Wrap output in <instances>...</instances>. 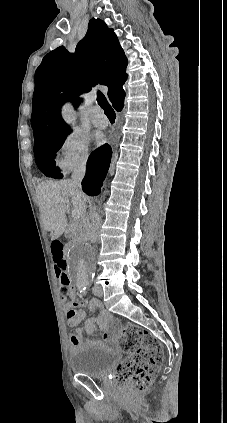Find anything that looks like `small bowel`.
Returning a JSON list of instances; mask_svg holds the SVG:
<instances>
[{"mask_svg": "<svg viewBox=\"0 0 227 423\" xmlns=\"http://www.w3.org/2000/svg\"><path fill=\"white\" fill-rule=\"evenodd\" d=\"M70 298L67 302L66 296L61 297V301L64 304V315L69 326L75 327L81 321L83 323V330L87 335H92L96 331L97 327L105 331L111 323L114 322L112 315L106 311L100 302L93 300L88 303L86 300L76 298V289L74 285L70 283L69 289L66 292ZM89 306L90 310L97 314L96 317L86 318V314L83 310L84 307ZM107 335H103V339H106ZM70 346L73 350L77 349L82 343V329L78 328L69 338Z\"/></svg>", "mask_w": 227, "mask_h": 423, "instance_id": "c3829d8e", "label": "small bowel"}]
</instances>
